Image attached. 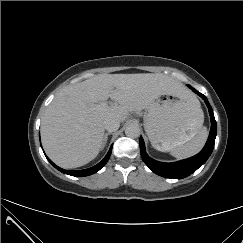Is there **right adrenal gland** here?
Instances as JSON below:
<instances>
[{
    "label": "right adrenal gland",
    "mask_w": 243,
    "mask_h": 243,
    "mask_svg": "<svg viewBox=\"0 0 243 243\" xmlns=\"http://www.w3.org/2000/svg\"><path fill=\"white\" fill-rule=\"evenodd\" d=\"M112 133L111 132H108L104 135V139H103V145H102V148L101 150H103V148L105 147L106 143H107V139H108V136L111 135Z\"/></svg>",
    "instance_id": "2a0ac1e0"
}]
</instances>
